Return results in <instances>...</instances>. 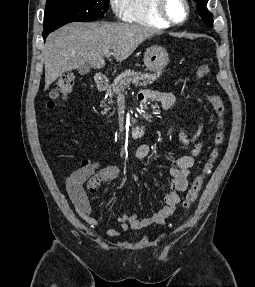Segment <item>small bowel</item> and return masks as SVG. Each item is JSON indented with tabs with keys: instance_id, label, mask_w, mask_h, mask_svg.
Returning a JSON list of instances; mask_svg holds the SVG:
<instances>
[{
	"instance_id": "1",
	"label": "small bowel",
	"mask_w": 255,
	"mask_h": 287,
	"mask_svg": "<svg viewBox=\"0 0 255 287\" xmlns=\"http://www.w3.org/2000/svg\"><path fill=\"white\" fill-rule=\"evenodd\" d=\"M149 98L159 102L164 109H171L175 104V97L170 93L152 92ZM201 126H198L192 135L182 130L180 140L190 153L179 157L170 167L169 173L172 180L169 192L164 196V205L154 214L146 218H138L135 214H122L117 218L118 226L109 228L106 234L110 237H119L127 230H141L152 224H163L175 212L181 201L180 194L186 191L188 187V177L190 169L195 163L196 156L201 152L202 142L199 140ZM151 153V147L148 144H140L134 150V157L137 160L147 158ZM119 175V169L116 166L101 167L98 162L88 164L73 172L66 181V188L69 197L74 205L77 215L88 223L91 227L97 226L98 222L92 215L91 205L84 185L87 184V190L96 191L102 183L112 181Z\"/></svg>"
}]
</instances>
